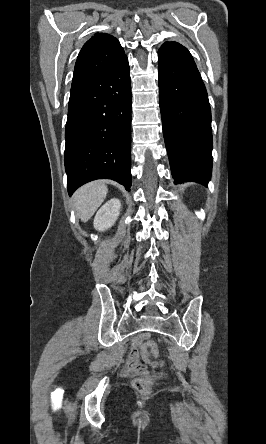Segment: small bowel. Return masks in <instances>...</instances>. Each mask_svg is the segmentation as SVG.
I'll return each instance as SVG.
<instances>
[{"mask_svg":"<svg viewBox=\"0 0 266 444\" xmlns=\"http://www.w3.org/2000/svg\"><path fill=\"white\" fill-rule=\"evenodd\" d=\"M123 372L126 376L147 374V369L141 362L140 353L137 349H133L129 354Z\"/></svg>","mask_w":266,"mask_h":444,"instance_id":"obj_1","label":"small bowel"}]
</instances>
